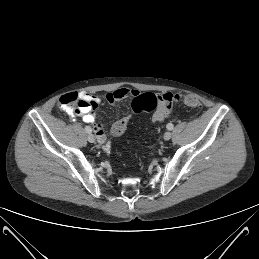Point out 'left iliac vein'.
Here are the masks:
<instances>
[{
	"label": "left iliac vein",
	"mask_w": 259,
	"mask_h": 259,
	"mask_svg": "<svg viewBox=\"0 0 259 259\" xmlns=\"http://www.w3.org/2000/svg\"><path fill=\"white\" fill-rule=\"evenodd\" d=\"M171 138V133L169 131L164 133V139L169 140Z\"/></svg>",
	"instance_id": "left-iliac-vein-1"
}]
</instances>
